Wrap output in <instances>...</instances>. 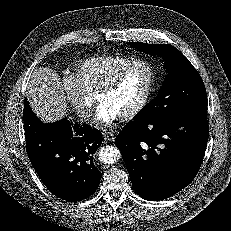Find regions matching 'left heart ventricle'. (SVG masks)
Returning a JSON list of instances; mask_svg holds the SVG:
<instances>
[{
	"label": "left heart ventricle",
	"instance_id": "1",
	"mask_svg": "<svg viewBox=\"0 0 231 231\" xmlns=\"http://www.w3.org/2000/svg\"><path fill=\"white\" fill-rule=\"evenodd\" d=\"M150 83L146 66L132 68L111 93L101 97L100 102L109 105L117 114L129 112L144 96Z\"/></svg>",
	"mask_w": 231,
	"mask_h": 231
}]
</instances>
